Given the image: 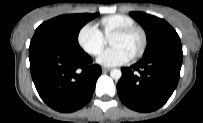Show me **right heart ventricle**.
I'll list each match as a JSON object with an SVG mask.
<instances>
[{"label": "right heart ventricle", "instance_id": "1", "mask_svg": "<svg viewBox=\"0 0 203 123\" xmlns=\"http://www.w3.org/2000/svg\"><path fill=\"white\" fill-rule=\"evenodd\" d=\"M101 25L105 37H110L118 29L135 26V21L123 14H114L102 18Z\"/></svg>", "mask_w": 203, "mask_h": 123}]
</instances>
